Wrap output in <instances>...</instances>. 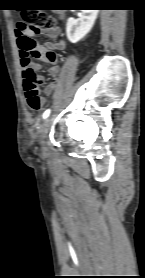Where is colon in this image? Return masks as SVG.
Wrapping results in <instances>:
<instances>
[{
    "label": "colon",
    "instance_id": "1",
    "mask_svg": "<svg viewBox=\"0 0 145 278\" xmlns=\"http://www.w3.org/2000/svg\"><path fill=\"white\" fill-rule=\"evenodd\" d=\"M54 28V19L43 13L36 11V9H28L22 13L21 20L15 27L16 33H22L27 29L32 31H50ZM21 52H26L29 58L39 56L41 54L49 62L56 61V53L52 49L44 50L36 42L34 38L25 37L21 40ZM23 86L27 99L28 107L33 111H39L43 107V99L39 92L40 80L35 72L28 66L23 72Z\"/></svg>",
    "mask_w": 145,
    "mask_h": 278
}]
</instances>
